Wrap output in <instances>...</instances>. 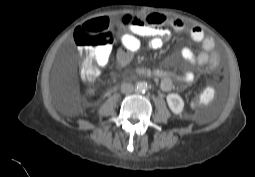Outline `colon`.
<instances>
[{
    "instance_id": "colon-1",
    "label": "colon",
    "mask_w": 255,
    "mask_h": 177,
    "mask_svg": "<svg viewBox=\"0 0 255 177\" xmlns=\"http://www.w3.org/2000/svg\"><path fill=\"white\" fill-rule=\"evenodd\" d=\"M121 21L128 24L130 17L125 16ZM83 28V31H79V28L76 30L75 41L81 56L83 75L87 81H93L101 68L96 52L111 46L113 41L112 33L109 30V22L106 19L92 20L85 23Z\"/></svg>"
}]
</instances>
